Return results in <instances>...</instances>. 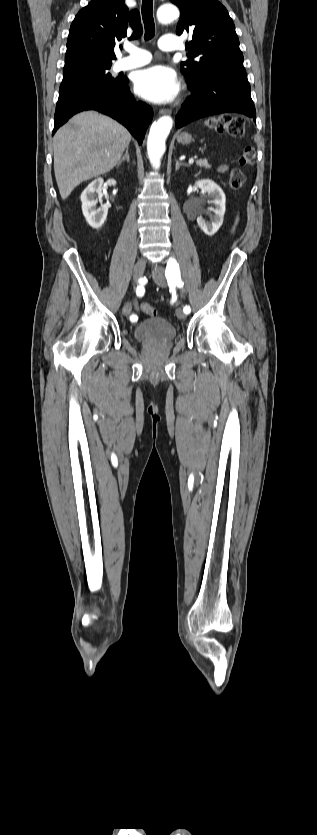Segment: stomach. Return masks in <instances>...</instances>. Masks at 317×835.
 <instances>
[{"label":"stomach","instance_id":"1","mask_svg":"<svg viewBox=\"0 0 317 835\" xmlns=\"http://www.w3.org/2000/svg\"><path fill=\"white\" fill-rule=\"evenodd\" d=\"M177 141L183 145H187L193 141V138L188 132H181L177 134Z\"/></svg>","mask_w":317,"mask_h":835}]
</instances>
